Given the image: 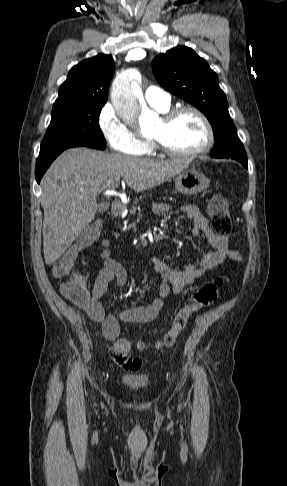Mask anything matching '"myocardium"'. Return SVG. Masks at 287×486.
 Segmentation results:
<instances>
[{"instance_id":"obj_1","label":"myocardium","mask_w":287,"mask_h":486,"mask_svg":"<svg viewBox=\"0 0 287 486\" xmlns=\"http://www.w3.org/2000/svg\"><path fill=\"white\" fill-rule=\"evenodd\" d=\"M184 113H193L201 120L206 132V141L201 147L197 149L190 151H179L168 146L161 137H151L150 142L152 143V145L160 152L168 156L178 158L195 157L208 152L214 145L215 135L211 122L209 121L207 116L197 107L184 105L172 108L163 114L161 120L165 127H169L180 115Z\"/></svg>"}]
</instances>
